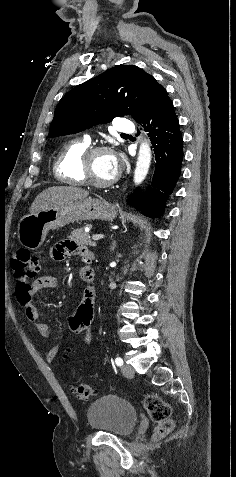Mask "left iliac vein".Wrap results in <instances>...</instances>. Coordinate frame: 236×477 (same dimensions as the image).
I'll list each match as a JSON object with an SVG mask.
<instances>
[{"instance_id": "left-iliac-vein-1", "label": "left iliac vein", "mask_w": 236, "mask_h": 477, "mask_svg": "<svg viewBox=\"0 0 236 477\" xmlns=\"http://www.w3.org/2000/svg\"><path fill=\"white\" fill-rule=\"evenodd\" d=\"M121 371H122L123 375H124L125 377H127V378H131V377H133V375H134V370H133V368H132L130 365H127V364H126V365H123V366L121 367Z\"/></svg>"}]
</instances>
